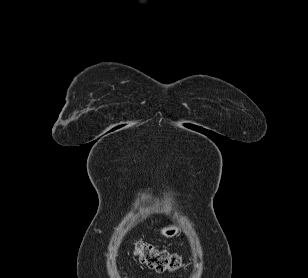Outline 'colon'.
<instances>
[{
    "label": "colon",
    "mask_w": 308,
    "mask_h": 278,
    "mask_svg": "<svg viewBox=\"0 0 308 278\" xmlns=\"http://www.w3.org/2000/svg\"><path fill=\"white\" fill-rule=\"evenodd\" d=\"M134 251L142 263L157 272L175 271L182 265V259L177 254L158 249L144 241L135 242Z\"/></svg>",
    "instance_id": "colon-1"
}]
</instances>
